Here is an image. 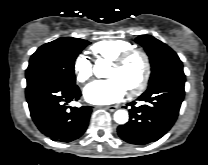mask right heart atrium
<instances>
[{"label":"right heart atrium","mask_w":208,"mask_h":165,"mask_svg":"<svg viewBox=\"0 0 208 165\" xmlns=\"http://www.w3.org/2000/svg\"><path fill=\"white\" fill-rule=\"evenodd\" d=\"M73 68L76 79L80 83L88 81L93 74L92 62L85 55H79L76 57Z\"/></svg>","instance_id":"1"}]
</instances>
